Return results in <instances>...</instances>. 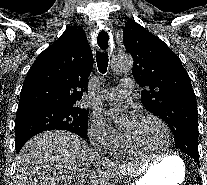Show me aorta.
<instances>
[{
	"mask_svg": "<svg viewBox=\"0 0 207 185\" xmlns=\"http://www.w3.org/2000/svg\"><path fill=\"white\" fill-rule=\"evenodd\" d=\"M133 67V59L128 54H119L115 56L110 64L114 73L123 74L129 72Z\"/></svg>",
	"mask_w": 207,
	"mask_h": 185,
	"instance_id": "aorta-1",
	"label": "aorta"
}]
</instances>
